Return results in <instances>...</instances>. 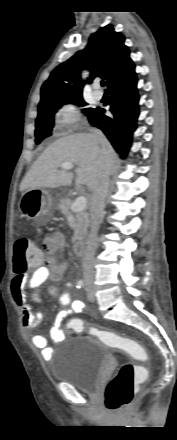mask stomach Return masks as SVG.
<instances>
[{
    "label": "stomach",
    "instance_id": "stomach-1",
    "mask_svg": "<svg viewBox=\"0 0 177 440\" xmlns=\"http://www.w3.org/2000/svg\"><path fill=\"white\" fill-rule=\"evenodd\" d=\"M19 210L28 219L44 224L54 215L56 204L48 190L28 189L21 196Z\"/></svg>",
    "mask_w": 177,
    "mask_h": 440
}]
</instances>
